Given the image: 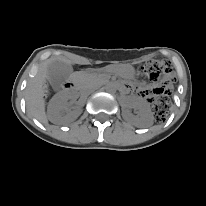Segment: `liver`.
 Masks as SVG:
<instances>
[{
    "label": "liver",
    "instance_id": "1",
    "mask_svg": "<svg viewBox=\"0 0 206 206\" xmlns=\"http://www.w3.org/2000/svg\"><path fill=\"white\" fill-rule=\"evenodd\" d=\"M61 61L67 64L72 62L64 57L50 58L43 62L36 75L28 82L26 88V109L30 116L36 118L41 123H47L48 117L45 112V94L47 93L46 82L48 79V66L55 62ZM66 110V109H65ZM80 115L78 111H63L56 114L51 122L59 125H66L77 119Z\"/></svg>",
    "mask_w": 206,
    "mask_h": 206
}]
</instances>
